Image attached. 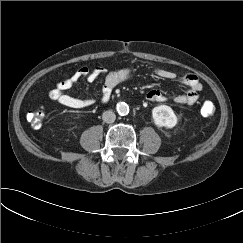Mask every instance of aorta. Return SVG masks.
I'll list each match as a JSON object with an SVG mask.
<instances>
[{"mask_svg":"<svg viewBox=\"0 0 243 243\" xmlns=\"http://www.w3.org/2000/svg\"><path fill=\"white\" fill-rule=\"evenodd\" d=\"M116 110L119 115L124 116L129 113V106L125 102H121L117 105Z\"/></svg>","mask_w":243,"mask_h":243,"instance_id":"aorta-1","label":"aorta"}]
</instances>
